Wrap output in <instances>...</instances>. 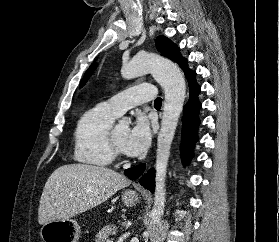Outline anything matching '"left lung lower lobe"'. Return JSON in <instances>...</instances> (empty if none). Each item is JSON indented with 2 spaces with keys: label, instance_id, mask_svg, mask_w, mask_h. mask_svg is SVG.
<instances>
[{
  "label": "left lung lower lobe",
  "instance_id": "0a47b994",
  "mask_svg": "<svg viewBox=\"0 0 279 242\" xmlns=\"http://www.w3.org/2000/svg\"><path fill=\"white\" fill-rule=\"evenodd\" d=\"M181 67L189 82V101L184 106V116L182 119L183 128V140L181 145L182 157L184 163H187L192 156L194 143L197 141V129L200 124L198 113L201 108V104L198 101V94L200 92V86L196 83V73L191 71L186 64V60L181 64ZM145 170V164H140L135 167L125 170V174L130 179H137ZM140 184L146 189L154 192V171L151 170L147 175H144L140 180Z\"/></svg>",
  "mask_w": 279,
  "mask_h": 242
}]
</instances>
